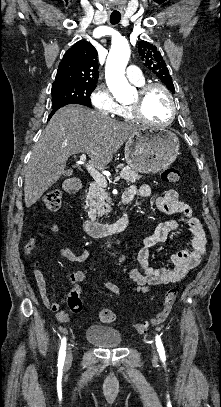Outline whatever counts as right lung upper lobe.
I'll use <instances>...</instances> for the list:
<instances>
[{
  "label": "right lung upper lobe",
  "instance_id": "cb5924a9",
  "mask_svg": "<svg viewBox=\"0 0 221 407\" xmlns=\"http://www.w3.org/2000/svg\"><path fill=\"white\" fill-rule=\"evenodd\" d=\"M97 51L87 41H78L66 51L52 88L73 84H96L99 77Z\"/></svg>",
  "mask_w": 221,
  "mask_h": 407
}]
</instances>
